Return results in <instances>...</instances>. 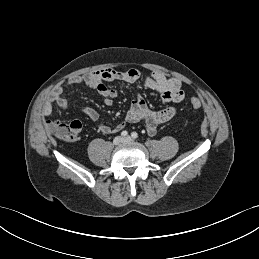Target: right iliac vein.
I'll return each mask as SVG.
<instances>
[{
	"instance_id": "right-iliac-vein-1",
	"label": "right iliac vein",
	"mask_w": 259,
	"mask_h": 259,
	"mask_svg": "<svg viewBox=\"0 0 259 259\" xmlns=\"http://www.w3.org/2000/svg\"><path fill=\"white\" fill-rule=\"evenodd\" d=\"M123 141L124 140L121 136H117L114 138L113 143H114V145H120Z\"/></svg>"
}]
</instances>
